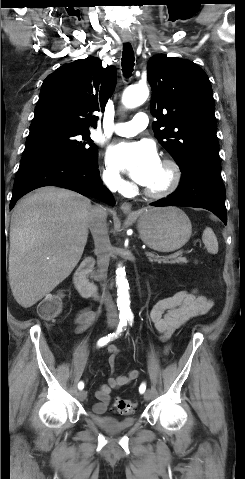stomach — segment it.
<instances>
[{
	"label": "stomach",
	"mask_w": 245,
	"mask_h": 479,
	"mask_svg": "<svg viewBox=\"0 0 245 479\" xmlns=\"http://www.w3.org/2000/svg\"><path fill=\"white\" fill-rule=\"evenodd\" d=\"M137 227L142 241L159 252H172L191 237L192 225L179 208H146L137 213Z\"/></svg>",
	"instance_id": "0dacf381"
}]
</instances>
